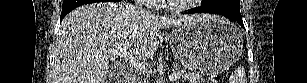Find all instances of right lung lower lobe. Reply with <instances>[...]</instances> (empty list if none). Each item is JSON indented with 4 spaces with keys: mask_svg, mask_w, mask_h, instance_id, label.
<instances>
[{
    "mask_svg": "<svg viewBox=\"0 0 307 83\" xmlns=\"http://www.w3.org/2000/svg\"><path fill=\"white\" fill-rule=\"evenodd\" d=\"M90 2H101V1H96V0H64L60 20H62L63 17L65 15H67L74 8L81 6L83 4L90 3ZM117 2H119V1H117Z\"/></svg>",
    "mask_w": 307,
    "mask_h": 83,
    "instance_id": "98d812e1",
    "label": "right lung lower lobe"
}]
</instances>
